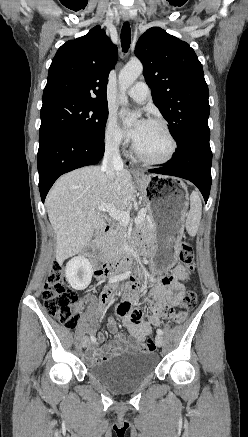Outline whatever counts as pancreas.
Instances as JSON below:
<instances>
[{
	"label": "pancreas",
	"instance_id": "pancreas-1",
	"mask_svg": "<svg viewBox=\"0 0 248 437\" xmlns=\"http://www.w3.org/2000/svg\"><path fill=\"white\" fill-rule=\"evenodd\" d=\"M139 229L146 238H152L151 219L144 216L140 222ZM127 227L118 224L104 242V250L109 256H116L121 247L127 243Z\"/></svg>",
	"mask_w": 248,
	"mask_h": 437
}]
</instances>
